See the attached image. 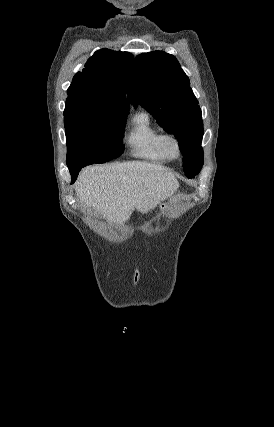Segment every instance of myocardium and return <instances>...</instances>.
<instances>
[{
	"instance_id": "1",
	"label": "myocardium",
	"mask_w": 274,
	"mask_h": 427,
	"mask_svg": "<svg viewBox=\"0 0 274 427\" xmlns=\"http://www.w3.org/2000/svg\"><path fill=\"white\" fill-rule=\"evenodd\" d=\"M160 147L161 150L164 154V156L168 159V160H179L180 158H182L183 154H184V148H183V144L180 140V138L172 133V132H165L162 133L160 135ZM169 143H172L174 145V147L177 150V154L174 155L170 152L169 150Z\"/></svg>"
}]
</instances>
